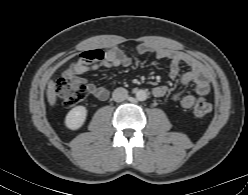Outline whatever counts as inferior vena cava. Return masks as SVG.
I'll use <instances>...</instances> for the list:
<instances>
[{"mask_svg": "<svg viewBox=\"0 0 248 195\" xmlns=\"http://www.w3.org/2000/svg\"><path fill=\"white\" fill-rule=\"evenodd\" d=\"M113 100L116 102H122L127 99L128 91L125 88L119 87L113 91Z\"/></svg>", "mask_w": 248, "mask_h": 195, "instance_id": "1", "label": "inferior vena cava"}]
</instances>
